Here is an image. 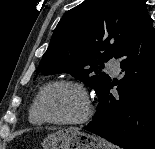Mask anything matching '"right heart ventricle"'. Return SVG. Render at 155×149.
I'll return each instance as SVG.
<instances>
[{
  "label": "right heart ventricle",
  "instance_id": "e07e8e85",
  "mask_svg": "<svg viewBox=\"0 0 155 149\" xmlns=\"http://www.w3.org/2000/svg\"><path fill=\"white\" fill-rule=\"evenodd\" d=\"M29 121L31 124L35 126H41L45 123L36 111L35 100L31 104L30 109H29Z\"/></svg>",
  "mask_w": 155,
  "mask_h": 149
}]
</instances>
